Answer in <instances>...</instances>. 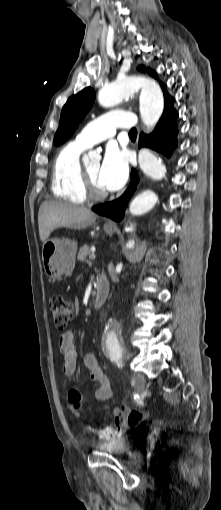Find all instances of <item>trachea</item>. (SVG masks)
<instances>
[{"label":"trachea","mask_w":221,"mask_h":510,"mask_svg":"<svg viewBox=\"0 0 221 510\" xmlns=\"http://www.w3.org/2000/svg\"><path fill=\"white\" fill-rule=\"evenodd\" d=\"M129 135L130 136H136L137 135V130L135 128L131 129L130 132H129Z\"/></svg>","instance_id":"1"}]
</instances>
